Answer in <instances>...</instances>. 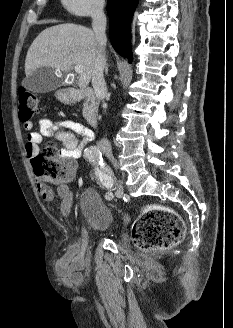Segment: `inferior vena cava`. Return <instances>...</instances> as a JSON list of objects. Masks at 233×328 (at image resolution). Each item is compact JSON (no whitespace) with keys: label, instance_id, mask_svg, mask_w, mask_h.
<instances>
[{"label":"inferior vena cava","instance_id":"inferior-vena-cava-1","mask_svg":"<svg viewBox=\"0 0 233 328\" xmlns=\"http://www.w3.org/2000/svg\"><path fill=\"white\" fill-rule=\"evenodd\" d=\"M104 4L100 3L95 7L92 12V27L98 43V50L94 61L92 70V85L96 94V97L100 100H104L107 96V86L104 79L103 71L106 64L105 59V46H106V17L103 11ZM107 105L103 103V108ZM98 147L101 151H110L111 144L107 138H103L98 142Z\"/></svg>","mask_w":233,"mask_h":328}]
</instances>
